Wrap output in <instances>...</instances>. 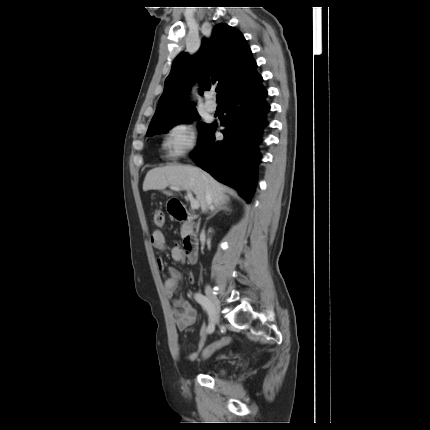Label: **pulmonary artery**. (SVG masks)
<instances>
[{"label":"pulmonary artery","mask_w":430,"mask_h":430,"mask_svg":"<svg viewBox=\"0 0 430 430\" xmlns=\"http://www.w3.org/2000/svg\"><path fill=\"white\" fill-rule=\"evenodd\" d=\"M205 108L209 112H214V111H216L217 105L214 101L208 99L205 102Z\"/></svg>","instance_id":"1"}]
</instances>
